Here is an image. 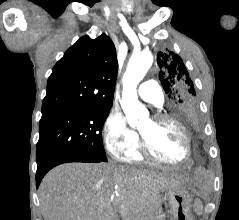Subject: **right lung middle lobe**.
I'll use <instances>...</instances> for the list:
<instances>
[{
    "label": "right lung middle lobe",
    "instance_id": "1",
    "mask_svg": "<svg viewBox=\"0 0 239 220\" xmlns=\"http://www.w3.org/2000/svg\"><path fill=\"white\" fill-rule=\"evenodd\" d=\"M109 110L88 108L42 113L37 163L58 154L86 155L107 161L102 128Z\"/></svg>",
    "mask_w": 239,
    "mask_h": 220
}]
</instances>
